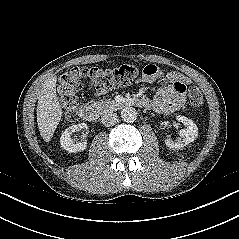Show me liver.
<instances>
[{"mask_svg": "<svg viewBox=\"0 0 239 239\" xmlns=\"http://www.w3.org/2000/svg\"><path fill=\"white\" fill-rule=\"evenodd\" d=\"M56 76L50 77L44 84L38 97L37 123L43 140L49 142L62 116V109L56 94Z\"/></svg>", "mask_w": 239, "mask_h": 239, "instance_id": "1", "label": "liver"}]
</instances>
